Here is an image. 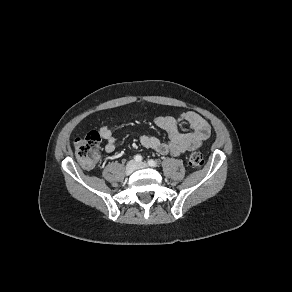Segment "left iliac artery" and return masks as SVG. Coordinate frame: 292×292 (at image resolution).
Masks as SVG:
<instances>
[{
    "label": "left iliac artery",
    "mask_w": 292,
    "mask_h": 292,
    "mask_svg": "<svg viewBox=\"0 0 292 292\" xmlns=\"http://www.w3.org/2000/svg\"><path fill=\"white\" fill-rule=\"evenodd\" d=\"M148 164H149V166L157 167V163L153 159L148 160Z\"/></svg>",
    "instance_id": "1"
}]
</instances>
